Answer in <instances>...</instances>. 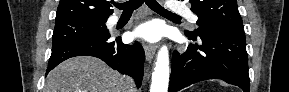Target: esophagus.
<instances>
[{
  "instance_id": "obj_1",
  "label": "esophagus",
  "mask_w": 289,
  "mask_h": 92,
  "mask_svg": "<svg viewBox=\"0 0 289 92\" xmlns=\"http://www.w3.org/2000/svg\"><path fill=\"white\" fill-rule=\"evenodd\" d=\"M143 48H144V51H145L146 61L151 62V60L155 56L157 46L144 42L143 43Z\"/></svg>"
}]
</instances>
